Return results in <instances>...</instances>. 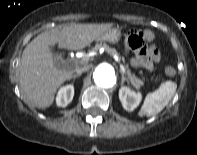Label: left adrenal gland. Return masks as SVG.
Wrapping results in <instances>:
<instances>
[{
	"instance_id": "a2214340",
	"label": "left adrenal gland",
	"mask_w": 197,
	"mask_h": 155,
	"mask_svg": "<svg viewBox=\"0 0 197 155\" xmlns=\"http://www.w3.org/2000/svg\"><path fill=\"white\" fill-rule=\"evenodd\" d=\"M120 73H121V85H123V83H124L125 81H127V83H128V80L125 78L123 72L120 71Z\"/></svg>"
}]
</instances>
